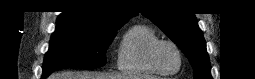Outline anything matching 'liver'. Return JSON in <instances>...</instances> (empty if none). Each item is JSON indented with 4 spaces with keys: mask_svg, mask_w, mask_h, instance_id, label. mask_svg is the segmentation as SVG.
<instances>
[{
    "mask_svg": "<svg viewBox=\"0 0 255 79\" xmlns=\"http://www.w3.org/2000/svg\"><path fill=\"white\" fill-rule=\"evenodd\" d=\"M50 79H155L152 76H124L121 74H105L92 71H62L52 74Z\"/></svg>",
    "mask_w": 255,
    "mask_h": 79,
    "instance_id": "6515ba94",
    "label": "liver"
}]
</instances>
